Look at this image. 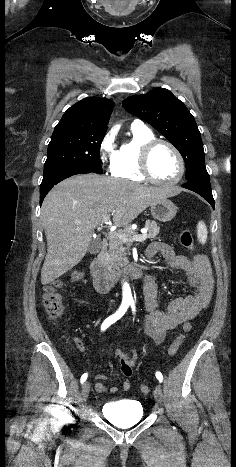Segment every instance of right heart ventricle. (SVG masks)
I'll return each instance as SVG.
<instances>
[{"label": "right heart ventricle", "instance_id": "e07e8e85", "mask_svg": "<svg viewBox=\"0 0 236 467\" xmlns=\"http://www.w3.org/2000/svg\"><path fill=\"white\" fill-rule=\"evenodd\" d=\"M131 133L132 138L118 149L111 173L121 179L142 182L146 178L139 170V151L141 146L146 141L155 138V135L146 126H131Z\"/></svg>", "mask_w": 236, "mask_h": 467}]
</instances>
